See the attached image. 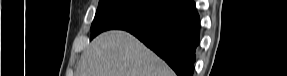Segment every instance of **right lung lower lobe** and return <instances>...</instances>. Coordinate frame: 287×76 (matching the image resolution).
<instances>
[{
	"instance_id": "1",
	"label": "right lung lower lobe",
	"mask_w": 287,
	"mask_h": 76,
	"mask_svg": "<svg viewBox=\"0 0 287 76\" xmlns=\"http://www.w3.org/2000/svg\"><path fill=\"white\" fill-rule=\"evenodd\" d=\"M164 59L178 76H192L200 19L191 0H178L139 29L128 30Z\"/></svg>"
}]
</instances>
